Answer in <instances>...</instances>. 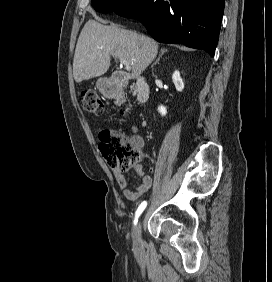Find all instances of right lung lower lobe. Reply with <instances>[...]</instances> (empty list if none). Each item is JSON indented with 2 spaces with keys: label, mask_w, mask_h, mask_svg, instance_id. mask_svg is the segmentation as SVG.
I'll use <instances>...</instances> for the list:
<instances>
[{
  "label": "right lung lower lobe",
  "mask_w": 272,
  "mask_h": 282,
  "mask_svg": "<svg viewBox=\"0 0 272 282\" xmlns=\"http://www.w3.org/2000/svg\"><path fill=\"white\" fill-rule=\"evenodd\" d=\"M224 0H140L116 12L141 21L162 43H182L214 56Z\"/></svg>",
  "instance_id": "1"
}]
</instances>
